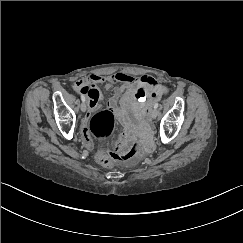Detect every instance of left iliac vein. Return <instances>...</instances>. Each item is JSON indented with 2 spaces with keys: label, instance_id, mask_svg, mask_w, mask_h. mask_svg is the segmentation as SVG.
<instances>
[{
  "label": "left iliac vein",
  "instance_id": "obj_1",
  "mask_svg": "<svg viewBox=\"0 0 243 243\" xmlns=\"http://www.w3.org/2000/svg\"><path fill=\"white\" fill-rule=\"evenodd\" d=\"M157 115H158V110L157 109H153L151 111V114H150L151 118L155 119L157 117Z\"/></svg>",
  "mask_w": 243,
  "mask_h": 243
}]
</instances>
